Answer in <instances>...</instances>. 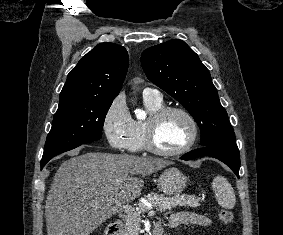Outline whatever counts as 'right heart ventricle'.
<instances>
[{
  "instance_id": "1",
  "label": "right heart ventricle",
  "mask_w": 283,
  "mask_h": 235,
  "mask_svg": "<svg viewBox=\"0 0 283 235\" xmlns=\"http://www.w3.org/2000/svg\"><path fill=\"white\" fill-rule=\"evenodd\" d=\"M144 104L150 114L155 113L164 107L162 98L143 96ZM146 121L133 120L132 132L128 141V149L132 152H139L145 149L144 128Z\"/></svg>"
}]
</instances>
